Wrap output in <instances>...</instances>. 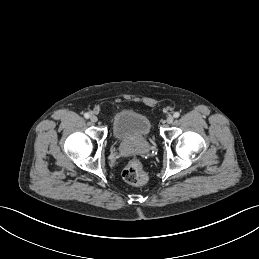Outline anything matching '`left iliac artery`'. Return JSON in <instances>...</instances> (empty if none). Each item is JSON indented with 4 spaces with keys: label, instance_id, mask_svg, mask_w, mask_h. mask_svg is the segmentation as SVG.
I'll return each instance as SVG.
<instances>
[{
    "label": "left iliac artery",
    "instance_id": "44dca946",
    "mask_svg": "<svg viewBox=\"0 0 259 259\" xmlns=\"http://www.w3.org/2000/svg\"><path fill=\"white\" fill-rule=\"evenodd\" d=\"M173 116H174L175 118H178V117L180 116V113H179V112H175V113L173 114Z\"/></svg>",
    "mask_w": 259,
    "mask_h": 259
}]
</instances>
